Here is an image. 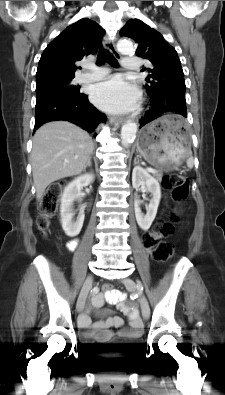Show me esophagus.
Listing matches in <instances>:
<instances>
[{
    "mask_svg": "<svg viewBox=\"0 0 225 395\" xmlns=\"http://www.w3.org/2000/svg\"><path fill=\"white\" fill-rule=\"evenodd\" d=\"M105 47L116 57H120L119 52L116 49L115 43L113 40H108L105 42ZM112 123H123L125 122V118L123 117H112Z\"/></svg>",
    "mask_w": 225,
    "mask_h": 395,
    "instance_id": "1",
    "label": "esophagus"
}]
</instances>
